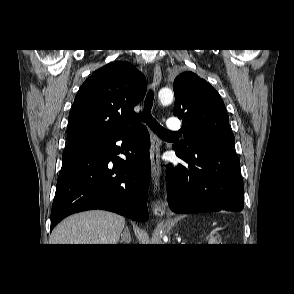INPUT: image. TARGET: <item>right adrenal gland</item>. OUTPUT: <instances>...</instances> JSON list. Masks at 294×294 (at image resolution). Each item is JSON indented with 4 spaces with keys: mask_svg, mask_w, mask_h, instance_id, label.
Here are the masks:
<instances>
[{
    "mask_svg": "<svg viewBox=\"0 0 294 294\" xmlns=\"http://www.w3.org/2000/svg\"><path fill=\"white\" fill-rule=\"evenodd\" d=\"M129 244L131 242V234L129 228L126 226L123 233L121 234L120 243Z\"/></svg>",
    "mask_w": 294,
    "mask_h": 294,
    "instance_id": "2a0ac1e0",
    "label": "right adrenal gland"
}]
</instances>
